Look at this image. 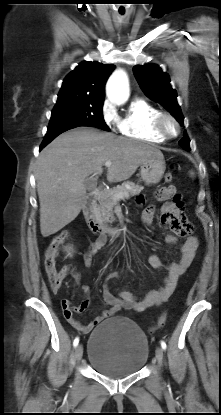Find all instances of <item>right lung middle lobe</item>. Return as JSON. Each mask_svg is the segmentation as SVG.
<instances>
[{
	"instance_id": "obj_1",
	"label": "right lung middle lobe",
	"mask_w": 221,
	"mask_h": 415,
	"mask_svg": "<svg viewBox=\"0 0 221 415\" xmlns=\"http://www.w3.org/2000/svg\"><path fill=\"white\" fill-rule=\"evenodd\" d=\"M103 102V99L87 96L58 95L48 127L75 125L109 131L103 119Z\"/></svg>"
}]
</instances>
